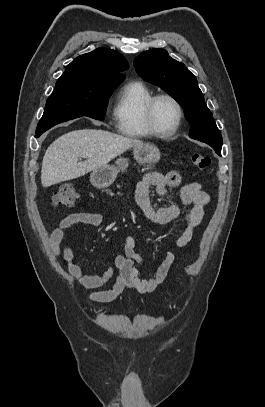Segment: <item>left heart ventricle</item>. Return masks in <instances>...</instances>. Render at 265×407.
<instances>
[{
    "label": "left heart ventricle",
    "instance_id": "b2bd125f",
    "mask_svg": "<svg viewBox=\"0 0 265 407\" xmlns=\"http://www.w3.org/2000/svg\"><path fill=\"white\" fill-rule=\"evenodd\" d=\"M178 112L175 105L167 99L160 100L155 107L154 118L162 131L171 129L177 121Z\"/></svg>",
    "mask_w": 265,
    "mask_h": 407
}]
</instances>
